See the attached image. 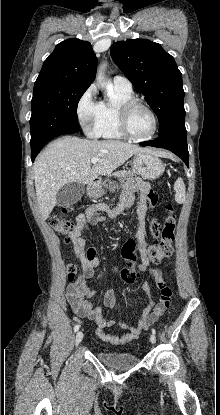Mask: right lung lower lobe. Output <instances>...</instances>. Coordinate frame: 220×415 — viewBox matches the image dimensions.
Masks as SVG:
<instances>
[{
  "label": "right lung lower lobe",
  "mask_w": 220,
  "mask_h": 415,
  "mask_svg": "<svg viewBox=\"0 0 220 415\" xmlns=\"http://www.w3.org/2000/svg\"><path fill=\"white\" fill-rule=\"evenodd\" d=\"M40 149H41V148H39V149H35V150H32V151H31V159H32V162L34 161L35 157H36V156H37V154L39 153Z\"/></svg>",
  "instance_id": "1"
}]
</instances>
